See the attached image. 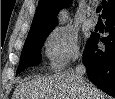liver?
Segmentation results:
<instances>
[{
  "label": "liver",
  "mask_w": 115,
  "mask_h": 99,
  "mask_svg": "<svg viewBox=\"0 0 115 99\" xmlns=\"http://www.w3.org/2000/svg\"><path fill=\"white\" fill-rule=\"evenodd\" d=\"M89 99H105V95L85 80ZM74 72H60L21 82L13 99H84Z\"/></svg>",
  "instance_id": "obj_1"
}]
</instances>
